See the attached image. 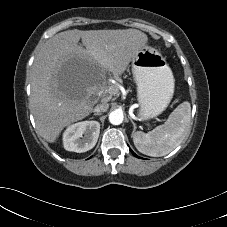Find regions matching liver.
<instances>
[{"mask_svg": "<svg viewBox=\"0 0 227 227\" xmlns=\"http://www.w3.org/2000/svg\"><path fill=\"white\" fill-rule=\"evenodd\" d=\"M80 39L84 47L78 45ZM147 42V35L136 29H73L47 40L31 69L30 106L38 134L54 143L66 126L87 117L93 109V94L105 97L112 93L109 87L96 80L95 66L118 77ZM72 59L86 62L92 70L93 80L86 91L68 96L57 89L54 75L61 64Z\"/></svg>", "mask_w": 227, "mask_h": 227, "instance_id": "liver-1", "label": "liver"}]
</instances>
